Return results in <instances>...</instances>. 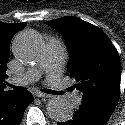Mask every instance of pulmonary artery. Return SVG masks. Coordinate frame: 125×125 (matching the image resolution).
I'll return each instance as SVG.
<instances>
[{
  "instance_id": "obj_1",
  "label": "pulmonary artery",
  "mask_w": 125,
  "mask_h": 125,
  "mask_svg": "<svg viewBox=\"0 0 125 125\" xmlns=\"http://www.w3.org/2000/svg\"><path fill=\"white\" fill-rule=\"evenodd\" d=\"M64 59V46L57 39H50L43 53L38 58V65L28 69L23 75L10 79L11 84H27L37 81L43 72L53 89H62L61 71ZM78 101V95L73 97Z\"/></svg>"
}]
</instances>
